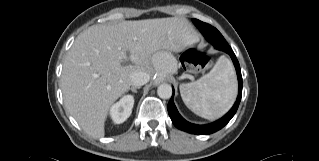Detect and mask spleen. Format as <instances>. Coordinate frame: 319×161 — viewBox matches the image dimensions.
<instances>
[{
	"label": "spleen",
	"mask_w": 319,
	"mask_h": 161,
	"mask_svg": "<svg viewBox=\"0 0 319 161\" xmlns=\"http://www.w3.org/2000/svg\"><path fill=\"white\" fill-rule=\"evenodd\" d=\"M185 105L196 115L206 119L222 116L232 106L237 94L234 68L221 56L212 70L200 79L180 85Z\"/></svg>",
	"instance_id": "obj_1"
}]
</instances>
